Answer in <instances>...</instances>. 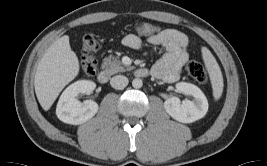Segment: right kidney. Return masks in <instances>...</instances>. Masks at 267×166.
I'll return each instance as SVG.
<instances>
[{
    "label": "right kidney",
    "mask_w": 267,
    "mask_h": 166,
    "mask_svg": "<svg viewBox=\"0 0 267 166\" xmlns=\"http://www.w3.org/2000/svg\"><path fill=\"white\" fill-rule=\"evenodd\" d=\"M95 83L79 80L68 86L60 96L56 108L57 117L64 123L79 125L91 119L98 111V104L92 100L80 102L76 97L91 94Z\"/></svg>",
    "instance_id": "right-kidney-1"
}]
</instances>
